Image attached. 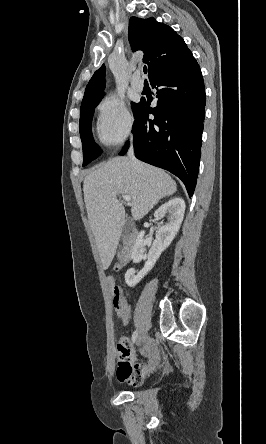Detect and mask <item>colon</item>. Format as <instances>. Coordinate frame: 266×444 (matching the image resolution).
<instances>
[{
  "mask_svg": "<svg viewBox=\"0 0 266 444\" xmlns=\"http://www.w3.org/2000/svg\"><path fill=\"white\" fill-rule=\"evenodd\" d=\"M124 301H125V298H124L121 287L118 285H114L113 291H112V303H113V306L115 307V309L121 307L123 305Z\"/></svg>",
  "mask_w": 266,
  "mask_h": 444,
  "instance_id": "1",
  "label": "colon"
}]
</instances>
